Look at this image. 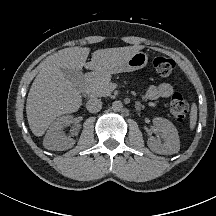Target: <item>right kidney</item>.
Masks as SVG:
<instances>
[{"mask_svg":"<svg viewBox=\"0 0 216 216\" xmlns=\"http://www.w3.org/2000/svg\"><path fill=\"white\" fill-rule=\"evenodd\" d=\"M73 123V117L70 115L59 117L49 127L43 141V145L48 150H67L72 148L75 144V140L66 137L62 134V129Z\"/></svg>","mask_w":216,"mask_h":216,"instance_id":"right-kidney-1","label":"right kidney"}]
</instances>
